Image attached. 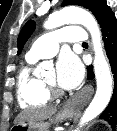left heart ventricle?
I'll use <instances>...</instances> for the list:
<instances>
[{
	"mask_svg": "<svg viewBox=\"0 0 117 131\" xmlns=\"http://www.w3.org/2000/svg\"><path fill=\"white\" fill-rule=\"evenodd\" d=\"M55 79H56L55 71L50 72V74L45 78V80L50 82H55Z\"/></svg>",
	"mask_w": 117,
	"mask_h": 131,
	"instance_id": "left-heart-ventricle-1",
	"label": "left heart ventricle"
}]
</instances>
